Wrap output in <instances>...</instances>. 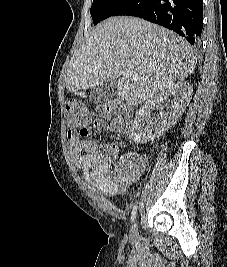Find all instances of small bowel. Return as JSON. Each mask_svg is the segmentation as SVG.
<instances>
[{
  "mask_svg": "<svg viewBox=\"0 0 227 267\" xmlns=\"http://www.w3.org/2000/svg\"><path fill=\"white\" fill-rule=\"evenodd\" d=\"M120 131L115 125L107 126L100 120L80 126L78 131L70 128L68 139L75 166L83 172L85 180L102 194H110L115 186H125L136 180L144 171L145 160L134 157L111 170L106 152L96 142L88 139L93 131Z\"/></svg>",
  "mask_w": 227,
  "mask_h": 267,
  "instance_id": "small-bowel-1",
  "label": "small bowel"
}]
</instances>
